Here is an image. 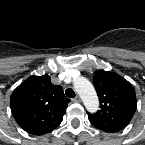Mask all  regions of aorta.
<instances>
[{
    "instance_id": "obj_1",
    "label": "aorta",
    "mask_w": 145,
    "mask_h": 145,
    "mask_svg": "<svg viewBox=\"0 0 145 145\" xmlns=\"http://www.w3.org/2000/svg\"><path fill=\"white\" fill-rule=\"evenodd\" d=\"M74 89L81 97L86 109L89 112H96L99 108V100L97 93L92 83L84 78L80 77L74 82Z\"/></svg>"
}]
</instances>
